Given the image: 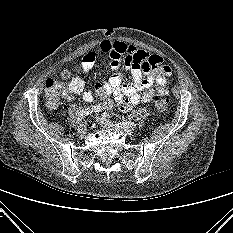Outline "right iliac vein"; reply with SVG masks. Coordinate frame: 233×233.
<instances>
[{
	"mask_svg": "<svg viewBox=\"0 0 233 233\" xmlns=\"http://www.w3.org/2000/svg\"><path fill=\"white\" fill-rule=\"evenodd\" d=\"M87 132V122H84L82 125L79 126L77 134L79 137H84Z\"/></svg>",
	"mask_w": 233,
	"mask_h": 233,
	"instance_id": "obj_1",
	"label": "right iliac vein"
}]
</instances>
